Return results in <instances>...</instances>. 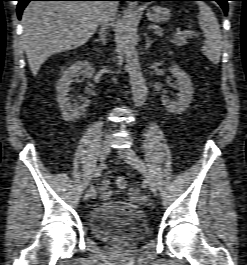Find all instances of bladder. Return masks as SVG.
Returning <instances> with one entry per match:
<instances>
[{
	"label": "bladder",
	"instance_id": "1",
	"mask_svg": "<svg viewBox=\"0 0 247 265\" xmlns=\"http://www.w3.org/2000/svg\"><path fill=\"white\" fill-rule=\"evenodd\" d=\"M93 237L104 243H132L148 233L142 207L120 201L101 203L90 215Z\"/></svg>",
	"mask_w": 247,
	"mask_h": 265
}]
</instances>
